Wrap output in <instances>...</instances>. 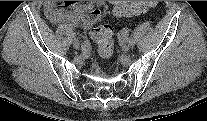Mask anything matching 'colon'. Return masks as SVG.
<instances>
[{
  "mask_svg": "<svg viewBox=\"0 0 207 121\" xmlns=\"http://www.w3.org/2000/svg\"><path fill=\"white\" fill-rule=\"evenodd\" d=\"M156 4L155 1L118 2L113 8V13L116 16H133L146 12ZM90 35L97 45L99 54L103 58L110 57L114 49V36L110 25L105 22H97L93 25Z\"/></svg>",
  "mask_w": 207,
  "mask_h": 121,
  "instance_id": "obj_1",
  "label": "colon"
}]
</instances>
